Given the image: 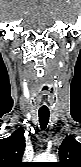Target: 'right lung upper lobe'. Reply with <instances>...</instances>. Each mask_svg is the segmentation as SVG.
Here are the masks:
<instances>
[{"instance_id": "obj_1", "label": "right lung upper lobe", "mask_w": 81, "mask_h": 167, "mask_svg": "<svg viewBox=\"0 0 81 167\" xmlns=\"http://www.w3.org/2000/svg\"><path fill=\"white\" fill-rule=\"evenodd\" d=\"M25 130L17 129L8 138L0 140V167H26L27 164L21 162L25 151Z\"/></svg>"}]
</instances>
